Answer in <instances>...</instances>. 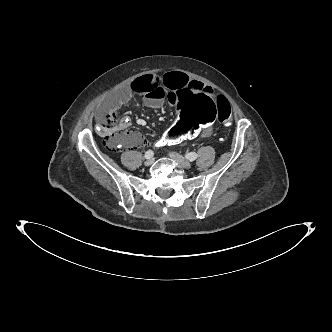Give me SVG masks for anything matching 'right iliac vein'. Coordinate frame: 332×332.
I'll list each match as a JSON object with an SVG mask.
<instances>
[{
    "mask_svg": "<svg viewBox=\"0 0 332 332\" xmlns=\"http://www.w3.org/2000/svg\"><path fill=\"white\" fill-rule=\"evenodd\" d=\"M153 162H154V159L151 157V158H149L145 161V165L146 166H151L153 164Z\"/></svg>",
    "mask_w": 332,
    "mask_h": 332,
    "instance_id": "63e3f726",
    "label": "right iliac vein"
}]
</instances>
